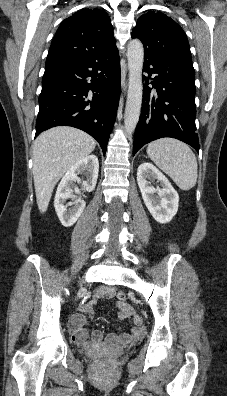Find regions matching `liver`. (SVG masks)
Returning <instances> with one entry per match:
<instances>
[{
	"label": "liver",
	"instance_id": "6515ba94",
	"mask_svg": "<svg viewBox=\"0 0 227 396\" xmlns=\"http://www.w3.org/2000/svg\"><path fill=\"white\" fill-rule=\"evenodd\" d=\"M96 141L73 127L58 126L41 133L33 146V177L38 209L45 213L62 176L88 156Z\"/></svg>",
	"mask_w": 227,
	"mask_h": 396
}]
</instances>
